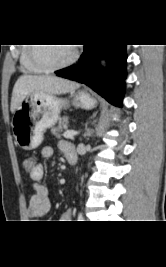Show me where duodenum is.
I'll return each mask as SVG.
<instances>
[{"instance_id": "obj_1", "label": "duodenum", "mask_w": 166, "mask_h": 267, "mask_svg": "<svg viewBox=\"0 0 166 267\" xmlns=\"http://www.w3.org/2000/svg\"><path fill=\"white\" fill-rule=\"evenodd\" d=\"M68 162L70 165H75L77 163L76 157H68Z\"/></svg>"}]
</instances>
